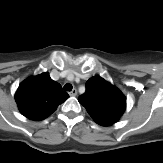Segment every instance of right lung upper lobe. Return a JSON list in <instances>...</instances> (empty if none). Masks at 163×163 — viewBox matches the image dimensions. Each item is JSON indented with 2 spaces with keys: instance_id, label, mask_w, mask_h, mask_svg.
Instances as JSON below:
<instances>
[{
  "instance_id": "cb5924a9",
  "label": "right lung upper lobe",
  "mask_w": 163,
  "mask_h": 163,
  "mask_svg": "<svg viewBox=\"0 0 163 163\" xmlns=\"http://www.w3.org/2000/svg\"><path fill=\"white\" fill-rule=\"evenodd\" d=\"M69 98L60 84L52 80L49 73L25 79L19 85L15 100L21 113L28 119L40 121L50 116Z\"/></svg>"
}]
</instances>
